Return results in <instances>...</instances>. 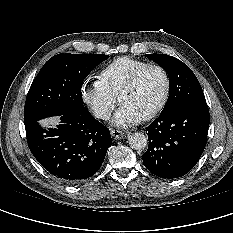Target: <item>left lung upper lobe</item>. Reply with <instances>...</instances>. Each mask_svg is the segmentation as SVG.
Here are the masks:
<instances>
[{
    "mask_svg": "<svg viewBox=\"0 0 233 233\" xmlns=\"http://www.w3.org/2000/svg\"><path fill=\"white\" fill-rule=\"evenodd\" d=\"M147 56L156 61L169 76L170 92L163 111L188 103L206 104L199 81L185 63L166 54Z\"/></svg>",
    "mask_w": 233,
    "mask_h": 233,
    "instance_id": "left-lung-upper-lobe-1",
    "label": "left lung upper lobe"
}]
</instances>
